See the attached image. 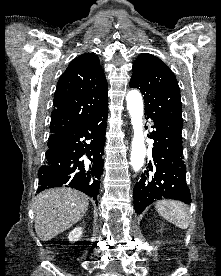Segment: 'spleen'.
Returning <instances> with one entry per match:
<instances>
[{
	"label": "spleen",
	"mask_w": 221,
	"mask_h": 276,
	"mask_svg": "<svg viewBox=\"0 0 221 276\" xmlns=\"http://www.w3.org/2000/svg\"><path fill=\"white\" fill-rule=\"evenodd\" d=\"M159 215L180 229H187L189 216L183 203L174 200H161L155 206Z\"/></svg>",
	"instance_id": "3e777b00"
}]
</instances>
